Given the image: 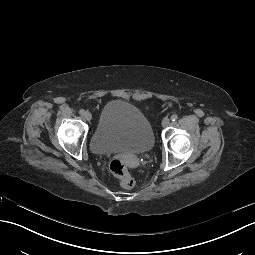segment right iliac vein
<instances>
[{
	"instance_id": "63e3f726",
	"label": "right iliac vein",
	"mask_w": 255,
	"mask_h": 255,
	"mask_svg": "<svg viewBox=\"0 0 255 255\" xmlns=\"http://www.w3.org/2000/svg\"><path fill=\"white\" fill-rule=\"evenodd\" d=\"M84 117H85V119H86L87 121H90V120L92 119V114H91L90 112H86V113L84 114Z\"/></svg>"
}]
</instances>
